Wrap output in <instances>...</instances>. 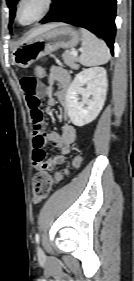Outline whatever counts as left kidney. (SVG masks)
I'll return each mask as SVG.
<instances>
[{
    "label": "left kidney",
    "instance_id": "obj_1",
    "mask_svg": "<svg viewBox=\"0 0 134 281\" xmlns=\"http://www.w3.org/2000/svg\"><path fill=\"white\" fill-rule=\"evenodd\" d=\"M86 85V88L83 86ZM107 91L103 67L83 69L70 84L66 94V110L75 126H84L96 119L104 106ZM78 95L82 96L79 101Z\"/></svg>",
    "mask_w": 134,
    "mask_h": 281
}]
</instances>
